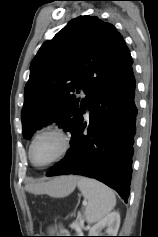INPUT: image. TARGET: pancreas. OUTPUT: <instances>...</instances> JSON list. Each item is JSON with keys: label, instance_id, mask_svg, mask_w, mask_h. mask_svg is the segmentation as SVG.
I'll list each match as a JSON object with an SVG mask.
<instances>
[{"label": "pancreas", "instance_id": "obj_1", "mask_svg": "<svg viewBox=\"0 0 158 237\" xmlns=\"http://www.w3.org/2000/svg\"><path fill=\"white\" fill-rule=\"evenodd\" d=\"M74 226H75L77 232H78V233H81L80 224L75 223Z\"/></svg>", "mask_w": 158, "mask_h": 237}]
</instances>
